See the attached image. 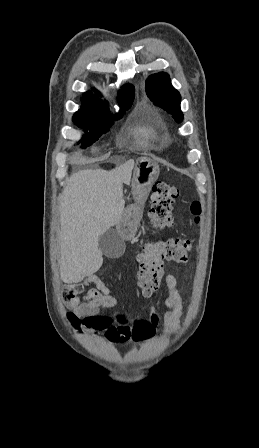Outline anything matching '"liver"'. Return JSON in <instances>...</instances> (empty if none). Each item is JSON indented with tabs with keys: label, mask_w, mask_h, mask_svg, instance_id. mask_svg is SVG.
<instances>
[{
	"label": "liver",
	"mask_w": 259,
	"mask_h": 448,
	"mask_svg": "<svg viewBox=\"0 0 259 448\" xmlns=\"http://www.w3.org/2000/svg\"><path fill=\"white\" fill-rule=\"evenodd\" d=\"M134 160L120 168L82 170L72 174L60 198V276L64 284H78L103 264L99 236L123 218V182H130Z\"/></svg>",
	"instance_id": "1"
}]
</instances>
